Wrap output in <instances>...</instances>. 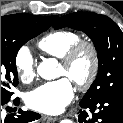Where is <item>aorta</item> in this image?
<instances>
[{
  "instance_id": "obj_1",
  "label": "aorta",
  "mask_w": 123,
  "mask_h": 123,
  "mask_svg": "<svg viewBox=\"0 0 123 123\" xmlns=\"http://www.w3.org/2000/svg\"><path fill=\"white\" fill-rule=\"evenodd\" d=\"M57 60L54 58H49L43 60L37 67V72L45 80H51L56 77ZM60 123H73L69 119H64Z\"/></svg>"
}]
</instances>
